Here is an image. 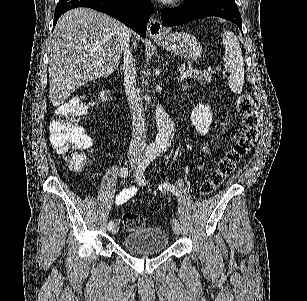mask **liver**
Segmentation results:
<instances>
[{
	"label": "liver",
	"instance_id": "1",
	"mask_svg": "<svg viewBox=\"0 0 307 301\" xmlns=\"http://www.w3.org/2000/svg\"><path fill=\"white\" fill-rule=\"evenodd\" d=\"M130 38V28L104 12L83 6L64 12L48 48L51 104L59 106L79 86L112 74Z\"/></svg>",
	"mask_w": 307,
	"mask_h": 301
}]
</instances>
